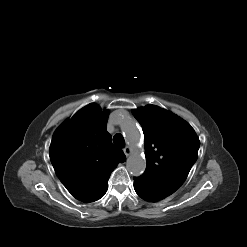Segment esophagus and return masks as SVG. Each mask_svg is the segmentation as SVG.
Segmentation results:
<instances>
[{
    "label": "esophagus",
    "instance_id": "1",
    "mask_svg": "<svg viewBox=\"0 0 247 247\" xmlns=\"http://www.w3.org/2000/svg\"><path fill=\"white\" fill-rule=\"evenodd\" d=\"M123 151H124V153H125V155L128 157L131 153H132V149L130 148V147H125L124 149H123Z\"/></svg>",
    "mask_w": 247,
    "mask_h": 247
}]
</instances>
